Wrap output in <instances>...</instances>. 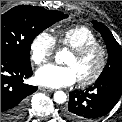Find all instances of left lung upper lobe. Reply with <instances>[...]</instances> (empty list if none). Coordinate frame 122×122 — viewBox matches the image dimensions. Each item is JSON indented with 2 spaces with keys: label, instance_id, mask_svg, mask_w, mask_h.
<instances>
[{
  "label": "left lung upper lobe",
  "instance_id": "5c2ea615",
  "mask_svg": "<svg viewBox=\"0 0 122 122\" xmlns=\"http://www.w3.org/2000/svg\"><path fill=\"white\" fill-rule=\"evenodd\" d=\"M92 23L94 28L101 33L108 50V62L97 81L113 77L122 78V48L105 25L97 21H92Z\"/></svg>",
  "mask_w": 122,
  "mask_h": 122
}]
</instances>
